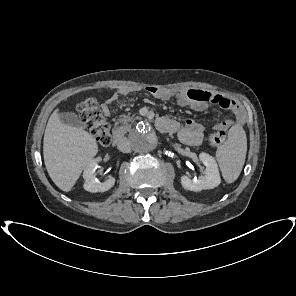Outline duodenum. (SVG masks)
I'll list each match as a JSON object with an SVG mask.
<instances>
[{"label": "duodenum", "instance_id": "1", "mask_svg": "<svg viewBox=\"0 0 296 296\" xmlns=\"http://www.w3.org/2000/svg\"><path fill=\"white\" fill-rule=\"evenodd\" d=\"M157 127L164 132H171L175 125L172 121L167 119H159L157 121ZM112 143L116 146H119L122 150H126V145L123 143V134L122 131L116 128L112 134Z\"/></svg>", "mask_w": 296, "mask_h": 296}]
</instances>
